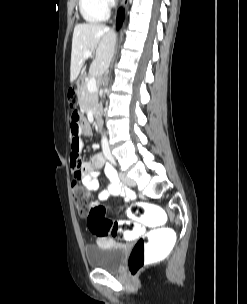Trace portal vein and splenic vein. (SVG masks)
Listing matches in <instances>:
<instances>
[{"label": "portal vein and splenic vein", "instance_id": "portal-vein-and-splenic-vein-1", "mask_svg": "<svg viewBox=\"0 0 247 304\" xmlns=\"http://www.w3.org/2000/svg\"><path fill=\"white\" fill-rule=\"evenodd\" d=\"M91 55H92V52L86 51L83 56H84L85 59H87V58L91 57ZM87 88L90 92H96L97 91L96 79L94 77H91L87 81Z\"/></svg>", "mask_w": 247, "mask_h": 304}]
</instances>
